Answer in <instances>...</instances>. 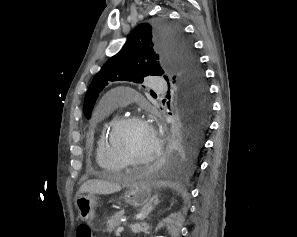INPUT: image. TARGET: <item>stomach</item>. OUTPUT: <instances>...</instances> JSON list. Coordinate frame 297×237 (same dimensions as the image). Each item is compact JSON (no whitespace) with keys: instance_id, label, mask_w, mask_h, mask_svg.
Returning <instances> with one entry per match:
<instances>
[{"instance_id":"1","label":"stomach","mask_w":297,"mask_h":237,"mask_svg":"<svg viewBox=\"0 0 297 237\" xmlns=\"http://www.w3.org/2000/svg\"><path fill=\"white\" fill-rule=\"evenodd\" d=\"M124 198L133 207L148 205L152 201L151 186L145 182L131 184ZM96 203L97 198L91 193L80 195L76 199L78 214L83 221L91 222L94 219Z\"/></svg>"}]
</instances>
